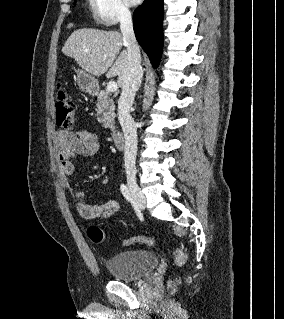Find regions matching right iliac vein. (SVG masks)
Wrapping results in <instances>:
<instances>
[{
    "instance_id": "right-iliac-vein-1",
    "label": "right iliac vein",
    "mask_w": 284,
    "mask_h": 319,
    "mask_svg": "<svg viewBox=\"0 0 284 319\" xmlns=\"http://www.w3.org/2000/svg\"><path fill=\"white\" fill-rule=\"evenodd\" d=\"M127 182L135 202L138 204L140 209H144L146 206V198L139 188L136 178L132 173L127 174Z\"/></svg>"
}]
</instances>
